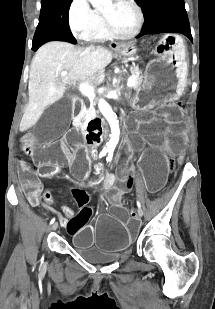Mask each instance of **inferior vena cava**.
Listing matches in <instances>:
<instances>
[{
	"label": "inferior vena cava",
	"mask_w": 215,
	"mask_h": 309,
	"mask_svg": "<svg viewBox=\"0 0 215 309\" xmlns=\"http://www.w3.org/2000/svg\"><path fill=\"white\" fill-rule=\"evenodd\" d=\"M92 48H94V46H89V50H92Z\"/></svg>",
	"instance_id": "602c4592"
}]
</instances>
